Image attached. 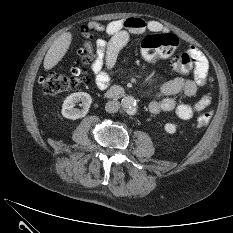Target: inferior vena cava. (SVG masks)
<instances>
[{
	"label": "inferior vena cava",
	"mask_w": 233,
	"mask_h": 233,
	"mask_svg": "<svg viewBox=\"0 0 233 233\" xmlns=\"http://www.w3.org/2000/svg\"><path fill=\"white\" fill-rule=\"evenodd\" d=\"M120 103L116 100L108 101L105 105V110L108 113H115L119 110Z\"/></svg>",
	"instance_id": "inferior-vena-cava-1"
}]
</instances>
